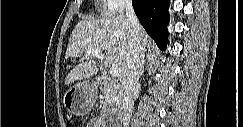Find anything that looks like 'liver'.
Here are the masks:
<instances>
[{
  "label": "liver",
  "instance_id": "obj_1",
  "mask_svg": "<svg viewBox=\"0 0 243 127\" xmlns=\"http://www.w3.org/2000/svg\"><path fill=\"white\" fill-rule=\"evenodd\" d=\"M132 25L124 15L108 16L100 19L86 18L77 23L70 36L65 59L79 60L65 78V84L89 79L97 74L98 62L87 55L90 49L104 52V65L117 66L124 74L130 47ZM140 38L144 48L152 47V41L141 27ZM84 58L86 61L84 62Z\"/></svg>",
  "mask_w": 243,
  "mask_h": 127
}]
</instances>
